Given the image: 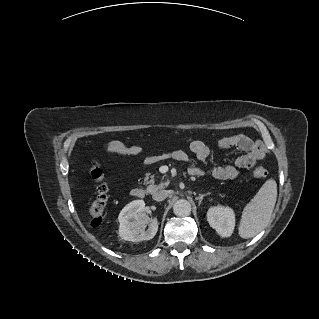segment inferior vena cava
Here are the masks:
<instances>
[{
	"label": "inferior vena cava",
	"instance_id": "1",
	"mask_svg": "<svg viewBox=\"0 0 319 319\" xmlns=\"http://www.w3.org/2000/svg\"><path fill=\"white\" fill-rule=\"evenodd\" d=\"M168 196V192L166 190H159L153 193L152 198L155 201H162Z\"/></svg>",
	"mask_w": 319,
	"mask_h": 319
}]
</instances>
